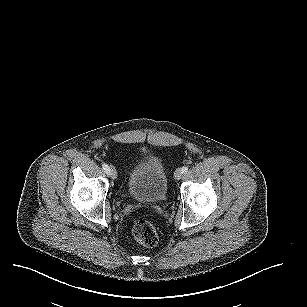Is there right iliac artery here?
<instances>
[{
	"instance_id": "1",
	"label": "right iliac artery",
	"mask_w": 307,
	"mask_h": 307,
	"mask_svg": "<svg viewBox=\"0 0 307 307\" xmlns=\"http://www.w3.org/2000/svg\"><path fill=\"white\" fill-rule=\"evenodd\" d=\"M102 167H103V169L105 170V172L108 174V172H109V166L106 164V163H102Z\"/></svg>"
}]
</instances>
